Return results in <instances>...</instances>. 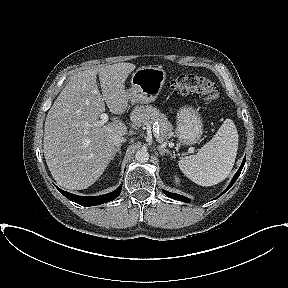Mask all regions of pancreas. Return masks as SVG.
<instances>
[{"mask_svg": "<svg viewBox=\"0 0 288 288\" xmlns=\"http://www.w3.org/2000/svg\"><path fill=\"white\" fill-rule=\"evenodd\" d=\"M130 119L134 126L141 127L144 125H150L154 122L159 124V139L165 140L173 136V126L168 121L165 114L160 113L153 106H136L131 115Z\"/></svg>", "mask_w": 288, "mask_h": 288, "instance_id": "cf45deb5", "label": "pancreas"}]
</instances>
